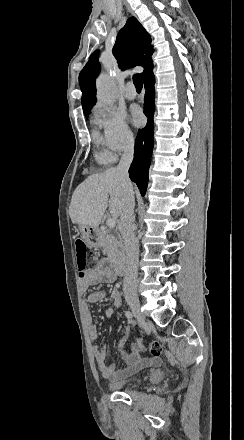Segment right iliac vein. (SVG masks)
Listing matches in <instances>:
<instances>
[{
  "instance_id": "1",
  "label": "right iliac vein",
  "mask_w": 244,
  "mask_h": 440,
  "mask_svg": "<svg viewBox=\"0 0 244 440\" xmlns=\"http://www.w3.org/2000/svg\"><path fill=\"white\" fill-rule=\"evenodd\" d=\"M126 302L132 311L138 315L141 326L146 323L147 321L143 318L142 313L140 312V301L138 296L135 294L128 295L126 296Z\"/></svg>"
}]
</instances>
